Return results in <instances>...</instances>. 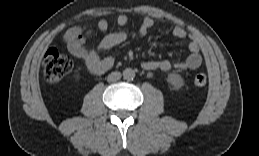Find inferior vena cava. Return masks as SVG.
<instances>
[{
	"label": "inferior vena cava",
	"instance_id": "602c4592",
	"mask_svg": "<svg viewBox=\"0 0 259 156\" xmlns=\"http://www.w3.org/2000/svg\"><path fill=\"white\" fill-rule=\"evenodd\" d=\"M121 78V73L118 71L112 72L108 75L107 81L108 82H116Z\"/></svg>",
	"mask_w": 259,
	"mask_h": 156
}]
</instances>
